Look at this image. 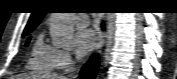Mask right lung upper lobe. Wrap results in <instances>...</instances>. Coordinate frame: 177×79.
Segmentation results:
<instances>
[{
  "label": "right lung upper lobe",
  "mask_w": 177,
  "mask_h": 79,
  "mask_svg": "<svg viewBox=\"0 0 177 79\" xmlns=\"http://www.w3.org/2000/svg\"><path fill=\"white\" fill-rule=\"evenodd\" d=\"M45 13H46L45 11L33 12L32 15L30 16L28 24L26 25V28H33V27L35 28L40 23Z\"/></svg>",
  "instance_id": "obj_1"
}]
</instances>
